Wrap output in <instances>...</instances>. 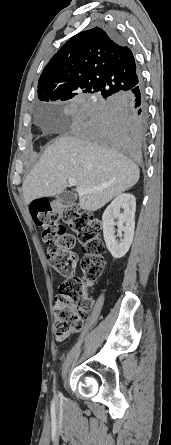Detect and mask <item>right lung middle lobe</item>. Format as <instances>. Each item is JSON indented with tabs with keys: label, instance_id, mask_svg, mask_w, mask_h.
Here are the masks:
<instances>
[{
	"label": "right lung middle lobe",
	"instance_id": "right-lung-middle-lobe-1",
	"mask_svg": "<svg viewBox=\"0 0 171 445\" xmlns=\"http://www.w3.org/2000/svg\"><path fill=\"white\" fill-rule=\"evenodd\" d=\"M87 95H88V97H87V102H88V104H89V107L95 102V101H98V100H101L103 97H104V94H101V93H86ZM74 96H71V97H69V98H67V99H70V98H73ZM67 99H65V100H67Z\"/></svg>",
	"mask_w": 171,
	"mask_h": 445
}]
</instances>
